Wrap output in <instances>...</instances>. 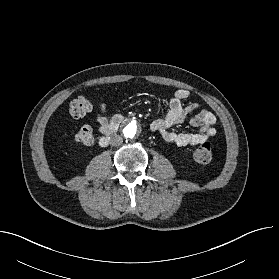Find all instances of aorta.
<instances>
[{
	"label": "aorta",
	"mask_w": 279,
	"mask_h": 279,
	"mask_svg": "<svg viewBox=\"0 0 279 279\" xmlns=\"http://www.w3.org/2000/svg\"><path fill=\"white\" fill-rule=\"evenodd\" d=\"M139 133V125L134 120H129L122 125V134L124 137L131 139Z\"/></svg>",
	"instance_id": "aorta-1"
}]
</instances>
